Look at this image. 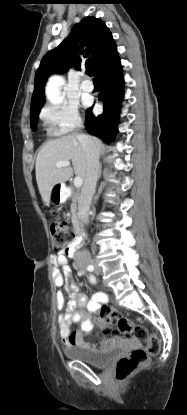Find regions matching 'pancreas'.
Wrapping results in <instances>:
<instances>
[{
    "mask_svg": "<svg viewBox=\"0 0 187 415\" xmlns=\"http://www.w3.org/2000/svg\"><path fill=\"white\" fill-rule=\"evenodd\" d=\"M71 213H72V223L74 226H78L79 225V221H78V217L76 214V211L73 207V205L71 206Z\"/></svg>",
    "mask_w": 187,
    "mask_h": 415,
    "instance_id": "obj_1",
    "label": "pancreas"
}]
</instances>
